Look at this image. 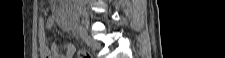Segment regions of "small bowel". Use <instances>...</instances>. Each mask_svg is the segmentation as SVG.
Returning a JSON list of instances; mask_svg holds the SVG:
<instances>
[{
    "label": "small bowel",
    "mask_w": 225,
    "mask_h": 58,
    "mask_svg": "<svg viewBox=\"0 0 225 58\" xmlns=\"http://www.w3.org/2000/svg\"><path fill=\"white\" fill-rule=\"evenodd\" d=\"M56 3H54L55 5ZM55 25V18L49 17L45 21V26L48 29ZM75 46L71 43L54 42L50 46L44 45L42 48L43 58H73Z\"/></svg>",
    "instance_id": "1"
}]
</instances>
